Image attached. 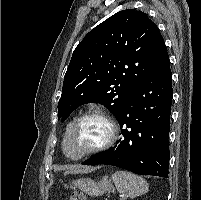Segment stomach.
Returning a JSON list of instances; mask_svg holds the SVG:
<instances>
[{
  "instance_id": "0dacf381",
  "label": "stomach",
  "mask_w": 201,
  "mask_h": 200,
  "mask_svg": "<svg viewBox=\"0 0 201 200\" xmlns=\"http://www.w3.org/2000/svg\"><path fill=\"white\" fill-rule=\"evenodd\" d=\"M71 187L78 188L90 196L103 195L112 188L111 180L104 176L101 181L95 182L90 178H81L71 183Z\"/></svg>"
}]
</instances>
